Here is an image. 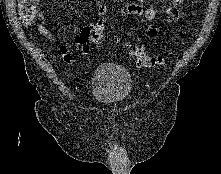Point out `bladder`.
<instances>
[{"label": "bladder", "instance_id": "bladder-1", "mask_svg": "<svg viewBox=\"0 0 221 174\" xmlns=\"http://www.w3.org/2000/svg\"><path fill=\"white\" fill-rule=\"evenodd\" d=\"M133 81L127 69L116 64L100 65L92 78L94 99L103 105L114 106L127 100Z\"/></svg>", "mask_w": 221, "mask_h": 174}]
</instances>
